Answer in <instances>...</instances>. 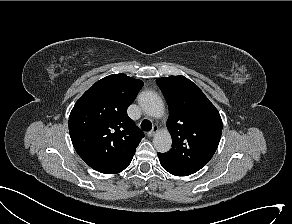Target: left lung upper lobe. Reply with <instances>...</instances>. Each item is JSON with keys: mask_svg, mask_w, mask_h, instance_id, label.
I'll list each match as a JSON object with an SVG mask.
<instances>
[{"mask_svg": "<svg viewBox=\"0 0 292 224\" xmlns=\"http://www.w3.org/2000/svg\"><path fill=\"white\" fill-rule=\"evenodd\" d=\"M168 107L167 128L172 148L158 153L160 160L193 174L214 155L222 134V120L215 106L192 81L183 76L156 80Z\"/></svg>", "mask_w": 292, "mask_h": 224, "instance_id": "1", "label": "left lung upper lobe"}]
</instances>
